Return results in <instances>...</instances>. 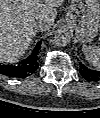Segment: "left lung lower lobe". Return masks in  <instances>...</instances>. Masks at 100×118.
Instances as JSON below:
<instances>
[{
	"label": "left lung lower lobe",
	"mask_w": 100,
	"mask_h": 118,
	"mask_svg": "<svg viewBox=\"0 0 100 118\" xmlns=\"http://www.w3.org/2000/svg\"><path fill=\"white\" fill-rule=\"evenodd\" d=\"M80 73L81 75L89 82L91 81H99L100 80V71L91 70L80 63Z\"/></svg>",
	"instance_id": "1"
}]
</instances>
